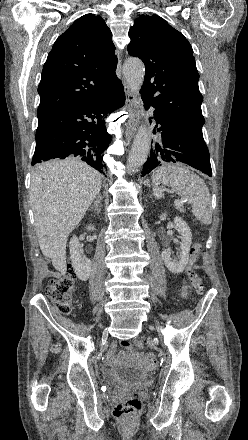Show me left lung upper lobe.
<instances>
[{
  "mask_svg": "<svg viewBox=\"0 0 248 440\" xmlns=\"http://www.w3.org/2000/svg\"><path fill=\"white\" fill-rule=\"evenodd\" d=\"M129 36V54L146 67L141 96L154 112L202 134L203 98L190 43L156 14L136 18Z\"/></svg>",
  "mask_w": 248,
  "mask_h": 440,
  "instance_id": "1",
  "label": "left lung upper lobe"
}]
</instances>
